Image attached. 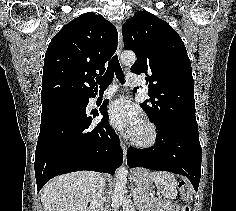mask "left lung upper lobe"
I'll use <instances>...</instances> for the list:
<instances>
[{
  "label": "left lung upper lobe",
  "mask_w": 236,
  "mask_h": 211,
  "mask_svg": "<svg viewBox=\"0 0 236 211\" xmlns=\"http://www.w3.org/2000/svg\"><path fill=\"white\" fill-rule=\"evenodd\" d=\"M125 48L137 55L131 67L145 74L149 99L141 107L156 126L197 128L190 59L178 33L164 20L138 11L122 27Z\"/></svg>",
  "instance_id": "obj_1"
}]
</instances>
